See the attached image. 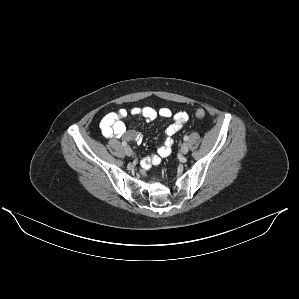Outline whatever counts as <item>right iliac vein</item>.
<instances>
[{
    "mask_svg": "<svg viewBox=\"0 0 299 299\" xmlns=\"http://www.w3.org/2000/svg\"><path fill=\"white\" fill-rule=\"evenodd\" d=\"M125 154L127 156H132L133 155V151L130 147H125Z\"/></svg>",
    "mask_w": 299,
    "mask_h": 299,
    "instance_id": "63e3f726",
    "label": "right iliac vein"
}]
</instances>
